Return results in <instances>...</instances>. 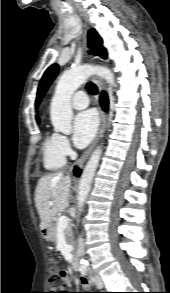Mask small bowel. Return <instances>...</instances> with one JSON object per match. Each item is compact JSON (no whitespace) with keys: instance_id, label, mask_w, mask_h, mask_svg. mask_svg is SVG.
Wrapping results in <instances>:
<instances>
[{"instance_id":"c3829d8e","label":"small bowel","mask_w":170,"mask_h":293,"mask_svg":"<svg viewBox=\"0 0 170 293\" xmlns=\"http://www.w3.org/2000/svg\"><path fill=\"white\" fill-rule=\"evenodd\" d=\"M79 283L82 286V288H84V289L89 288L88 281L85 277H81Z\"/></svg>"}]
</instances>
